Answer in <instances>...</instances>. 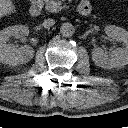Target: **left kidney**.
<instances>
[{
  "label": "left kidney",
  "instance_id": "obj_1",
  "mask_svg": "<svg viewBox=\"0 0 128 128\" xmlns=\"http://www.w3.org/2000/svg\"><path fill=\"white\" fill-rule=\"evenodd\" d=\"M106 34L117 41L124 44L123 48H116L112 51L110 57L100 47H95L92 51V59L94 63L102 68H121L128 64V32L115 25L105 27Z\"/></svg>",
  "mask_w": 128,
  "mask_h": 128
}]
</instances>
